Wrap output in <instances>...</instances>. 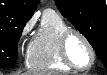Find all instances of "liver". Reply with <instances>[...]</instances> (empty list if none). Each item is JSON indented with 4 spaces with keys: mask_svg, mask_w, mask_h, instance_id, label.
I'll return each instance as SVG.
<instances>
[{
    "mask_svg": "<svg viewBox=\"0 0 107 75\" xmlns=\"http://www.w3.org/2000/svg\"><path fill=\"white\" fill-rule=\"evenodd\" d=\"M12 75H32V74H30L29 72H25V73H19V72H16V73H14V74H12Z\"/></svg>",
    "mask_w": 107,
    "mask_h": 75,
    "instance_id": "6515ba94",
    "label": "liver"
}]
</instances>
